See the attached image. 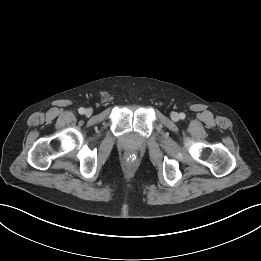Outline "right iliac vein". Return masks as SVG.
<instances>
[{
  "label": "right iliac vein",
  "instance_id": "1",
  "mask_svg": "<svg viewBox=\"0 0 261 261\" xmlns=\"http://www.w3.org/2000/svg\"><path fill=\"white\" fill-rule=\"evenodd\" d=\"M91 113H92V111L90 109H86V111H85V115L86 116H90Z\"/></svg>",
  "mask_w": 261,
  "mask_h": 261
}]
</instances>
